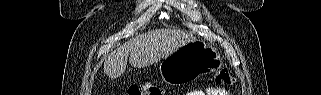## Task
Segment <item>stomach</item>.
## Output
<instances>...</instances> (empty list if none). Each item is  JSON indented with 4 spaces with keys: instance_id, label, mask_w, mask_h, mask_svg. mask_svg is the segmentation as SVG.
<instances>
[{
    "instance_id": "1",
    "label": "stomach",
    "mask_w": 321,
    "mask_h": 95,
    "mask_svg": "<svg viewBox=\"0 0 321 95\" xmlns=\"http://www.w3.org/2000/svg\"><path fill=\"white\" fill-rule=\"evenodd\" d=\"M222 66L218 50L210 44L195 40L184 44L160 63L162 79L168 84H181L216 71Z\"/></svg>"
}]
</instances>
